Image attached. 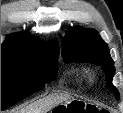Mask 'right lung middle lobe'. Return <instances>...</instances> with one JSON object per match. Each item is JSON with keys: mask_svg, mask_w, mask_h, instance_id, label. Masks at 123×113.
Masks as SVG:
<instances>
[{"mask_svg": "<svg viewBox=\"0 0 123 113\" xmlns=\"http://www.w3.org/2000/svg\"><path fill=\"white\" fill-rule=\"evenodd\" d=\"M58 54L47 47H1V110L14 105L51 82Z\"/></svg>", "mask_w": 123, "mask_h": 113, "instance_id": "right-lung-middle-lobe-1", "label": "right lung middle lobe"}]
</instances>
